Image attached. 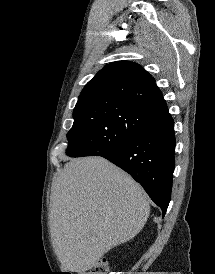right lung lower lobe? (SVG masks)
I'll use <instances>...</instances> for the list:
<instances>
[{
  "label": "right lung lower lobe",
  "mask_w": 215,
  "mask_h": 274,
  "mask_svg": "<svg viewBox=\"0 0 215 274\" xmlns=\"http://www.w3.org/2000/svg\"><path fill=\"white\" fill-rule=\"evenodd\" d=\"M174 149V122L166 111L122 145L100 156L125 170L140 183L161 208L164 217L171 197Z\"/></svg>",
  "instance_id": "right-lung-lower-lobe-1"
}]
</instances>
